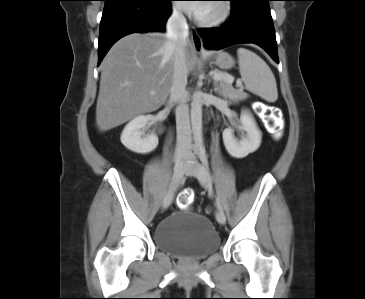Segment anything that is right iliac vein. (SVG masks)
<instances>
[{
    "instance_id": "right-iliac-vein-1",
    "label": "right iliac vein",
    "mask_w": 365,
    "mask_h": 299,
    "mask_svg": "<svg viewBox=\"0 0 365 299\" xmlns=\"http://www.w3.org/2000/svg\"><path fill=\"white\" fill-rule=\"evenodd\" d=\"M186 171V166L184 165V163L182 161H177L174 165V169H173V176L171 179V184H170V190L169 192L166 194V196L164 197L163 203H162V209H167L173 199V194L174 191L176 190L177 186L179 185V182L183 176V174Z\"/></svg>"
}]
</instances>
